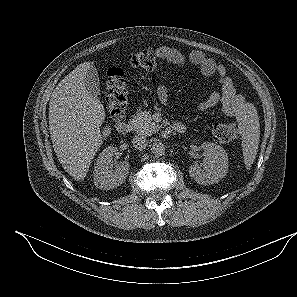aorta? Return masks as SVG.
I'll return each mask as SVG.
<instances>
[{
	"instance_id": "1",
	"label": "aorta",
	"mask_w": 297,
	"mask_h": 297,
	"mask_svg": "<svg viewBox=\"0 0 297 297\" xmlns=\"http://www.w3.org/2000/svg\"><path fill=\"white\" fill-rule=\"evenodd\" d=\"M165 150V146L162 142H154L151 146V153L156 157L164 155Z\"/></svg>"
}]
</instances>
